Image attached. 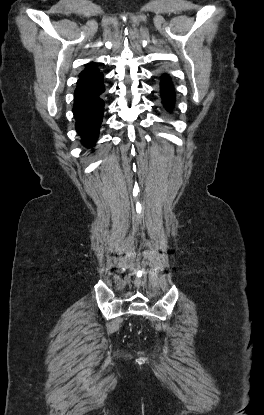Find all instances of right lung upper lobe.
Segmentation results:
<instances>
[{
  "mask_svg": "<svg viewBox=\"0 0 264 415\" xmlns=\"http://www.w3.org/2000/svg\"><path fill=\"white\" fill-rule=\"evenodd\" d=\"M98 71L99 69L97 68L96 63H89L87 67L80 73L79 76L90 75Z\"/></svg>",
  "mask_w": 264,
  "mask_h": 415,
  "instance_id": "cb5924a9",
  "label": "right lung upper lobe"
}]
</instances>
